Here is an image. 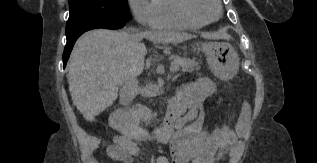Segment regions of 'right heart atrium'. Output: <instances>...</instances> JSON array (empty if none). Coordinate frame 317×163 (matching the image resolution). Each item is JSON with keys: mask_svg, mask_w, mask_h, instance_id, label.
I'll return each mask as SVG.
<instances>
[{"mask_svg": "<svg viewBox=\"0 0 317 163\" xmlns=\"http://www.w3.org/2000/svg\"><path fill=\"white\" fill-rule=\"evenodd\" d=\"M135 20L143 26H151L154 20L153 0H127Z\"/></svg>", "mask_w": 317, "mask_h": 163, "instance_id": "right-heart-atrium-1", "label": "right heart atrium"}]
</instances>
